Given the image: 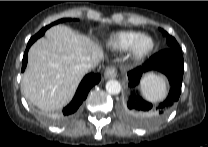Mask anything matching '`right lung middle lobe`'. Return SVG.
<instances>
[{"label":"right lung middle lobe","mask_w":208,"mask_h":147,"mask_svg":"<svg viewBox=\"0 0 208 147\" xmlns=\"http://www.w3.org/2000/svg\"><path fill=\"white\" fill-rule=\"evenodd\" d=\"M68 20L70 21L71 19H60V20H58V21H56V22H54V23H52V24H50V25H48V26H45V27L42 28L37 34H44L45 31H46L49 27H51L52 25L58 24V23H60V22L68 21Z\"/></svg>","instance_id":"right-lung-middle-lobe-1"}]
</instances>
